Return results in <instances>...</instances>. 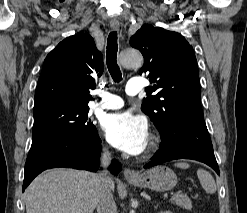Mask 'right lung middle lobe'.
I'll use <instances>...</instances> for the list:
<instances>
[{"mask_svg": "<svg viewBox=\"0 0 247 213\" xmlns=\"http://www.w3.org/2000/svg\"><path fill=\"white\" fill-rule=\"evenodd\" d=\"M88 110V106L67 103L51 104L34 110L33 141L43 136L70 131H76L84 138L94 139L98 133L88 118Z\"/></svg>", "mask_w": 247, "mask_h": 213, "instance_id": "obj_1", "label": "right lung middle lobe"}]
</instances>
